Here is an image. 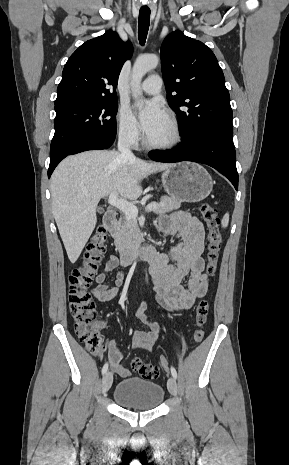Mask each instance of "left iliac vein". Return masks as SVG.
Segmentation results:
<instances>
[{
  "instance_id": "1",
  "label": "left iliac vein",
  "mask_w": 289,
  "mask_h": 465,
  "mask_svg": "<svg viewBox=\"0 0 289 465\" xmlns=\"http://www.w3.org/2000/svg\"><path fill=\"white\" fill-rule=\"evenodd\" d=\"M167 387L171 395L176 396L178 392L177 382L174 377H170L167 382Z\"/></svg>"
}]
</instances>
